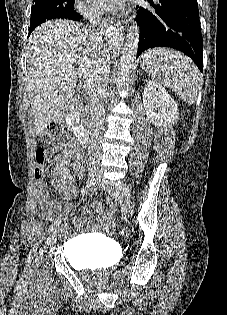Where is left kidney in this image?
Wrapping results in <instances>:
<instances>
[{
    "mask_svg": "<svg viewBox=\"0 0 227 315\" xmlns=\"http://www.w3.org/2000/svg\"><path fill=\"white\" fill-rule=\"evenodd\" d=\"M142 97L147 118L155 126H166L178 119L177 103L159 83L147 82Z\"/></svg>",
    "mask_w": 227,
    "mask_h": 315,
    "instance_id": "obj_1",
    "label": "left kidney"
}]
</instances>
